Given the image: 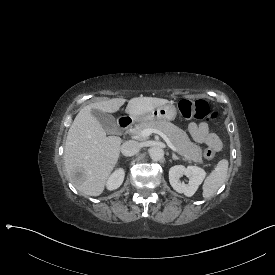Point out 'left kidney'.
<instances>
[{"label":"left kidney","mask_w":275,"mask_h":275,"mask_svg":"<svg viewBox=\"0 0 275 275\" xmlns=\"http://www.w3.org/2000/svg\"><path fill=\"white\" fill-rule=\"evenodd\" d=\"M182 176L190 177L188 185L181 183L179 178ZM204 177V170L195 166L185 168L183 165H175L169 170L170 185L177 193L184 194L187 197L194 195Z\"/></svg>","instance_id":"left-kidney-1"}]
</instances>
